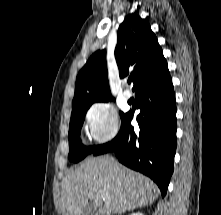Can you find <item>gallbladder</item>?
<instances>
[{
  "label": "gallbladder",
  "mask_w": 221,
  "mask_h": 215,
  "mask_svg": "<svg viewBox=\"0 0 221 215\" xmlns=\"http://www.w3.org/2000/svg\"><path fill=\"white\" fill-rule=\"evenodd\" d=\"M82 215H96V210L94 209V207L92 206L91 203H89L87 205V207L85 208V210L83 211Z\"/></svg>",
  "instance_id": "1"
}]
</instances>
